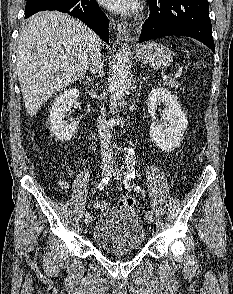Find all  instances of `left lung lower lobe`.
I'll list each match as a JSON object with an SVG mask.
<instances>
[{"label": "left lung lower lobe", "instance_id": "1", "mask_svg": "<svg viewBox=\"0 0 233 294\" xmlns=\"http://www.w3.org/2000/svg\"><path fill=\"white\" fill-rule=\"evenodd\" d=\"M150 16L142 25L139 42L164 36L199 40L215 53L207 0H148Z\"/></svg>", "mask_w": 233, "mask_h": 294}]
</instances>
